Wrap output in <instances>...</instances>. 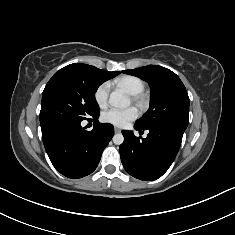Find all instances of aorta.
I'll return each instance as SVG.
<instances>
[{"mask_svg":"<svg viewBox=\"0 0 235 235\" xmlns=\"http://www.w3.org/2000/svg\"><path fill=\"white\" fill-rule=\"evenodd\" d=\"M109 102L114 107L126 108L130 105V98L121 90H114L109 97ZM124 141V137L121 133L113 136V142L116 145H121Z\"/></svg>","mask_w":235,"mask_h":235,"instance_id":"obj_1","label":"aorta"}]
</instances>
